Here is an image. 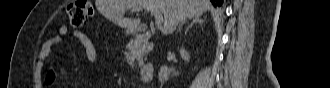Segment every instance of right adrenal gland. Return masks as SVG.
Masks as SVG:
<instances>
[{
  "mask_svg": "<svg viewBox=\"0 0 330 88\" xmlns=\"http://www.w3.org/2000/svg\"><path fill=\"white\" fill-rule=\"evenodd\" d=\"M204 22L203 19H201V16H195L191 22V24L186 28L185 35L188 33L189 29L192 27L194 23H200L202 24Z\"/></svg>",
  "mask_w": 330,
  "mask_h": 88,
  "instance_id": "2a0ac1e0",
  "label": "right adrenal gland"
}]
</instances>
